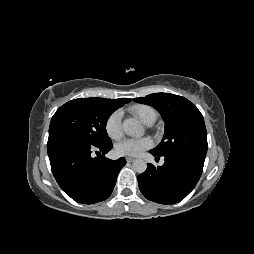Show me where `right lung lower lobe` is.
Wrapping results in <instances>:
<instances>
[{"mask_svg": "<svg viewBox=\"0 0 254 254\" xmlns=\"http://www.w3.org/2000/svg\"><path fill=\"white\" fill-rule=\"evenodd\" d=\"M111 149L112 143L93 145L63 132L49 133L47 143L57 183L68 196L82 204L104 201L112 193L126 160L106 158L104 155Z\"/></svg>", "mask_w": 254, "mask_h": 254, "instance_id": "obj_1", "label": "right lung lower lobe"}]
</instances>
